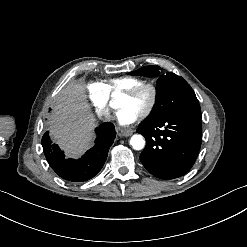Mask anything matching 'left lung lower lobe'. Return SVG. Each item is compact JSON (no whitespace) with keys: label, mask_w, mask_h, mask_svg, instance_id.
<instances>
[{"label":"left lung lower lobe","mask_w":247,"mask_h":247,"mask_svg":"<svg viewBox=\"0 0 247 247\" xmlns=\"http://www.w3.org/2000/svg\"><path fill=\"white\" fill-rule=\"evenodd\" d=\"M146 139L140 160L148 172L160 179L186 174L196 161L202 140V119L187 113L166 116L139 124Z\"/></svg>","instance_id":"0a47b994"}]
</instances>
